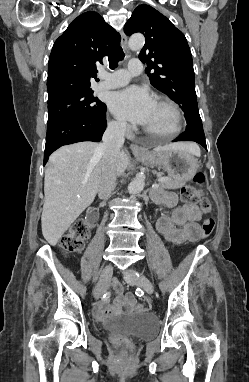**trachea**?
I'll list each match as a JSON object with an SVG mask.
<instances>
[{
    "instance_id": "obj_1",
    "label": "trachea",
    "mask_w": 249,
    "mask_h": 382,
    "mask_svg": "<svg viewBox=\"0 0 249 382\" xmlns=\"http://www.w3.org/2000/svg\"><path fill=\"white\" fill-rule=\"evenodd\" d=\"M125 57L123 49L119 46L108 56L110 69H115L118 66V62L122 61Z\"/></svg>"
}]
</instances>
